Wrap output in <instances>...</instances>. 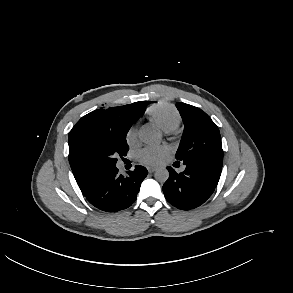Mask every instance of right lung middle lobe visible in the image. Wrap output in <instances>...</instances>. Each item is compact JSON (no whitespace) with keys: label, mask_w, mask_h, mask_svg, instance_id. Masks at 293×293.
<instances>
[{"label":"right lung middle lobe","mask_w":293,"mask_h":293,"mask_svg":"<svg viewBox=\"0 0 293 293\" xmlns=\"http://www.w3.org/2000/svg\"><path fill=\"white\" fill-rule=\"evenodd\" d=\"M137 114L126 116L116 129L92 128L83 132L80 153L92 165L113 168L117 156H125L129 150L126 134Z\"/></svg>","instance_id":"1"}]
</instances>
